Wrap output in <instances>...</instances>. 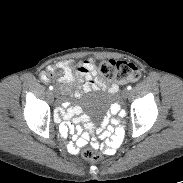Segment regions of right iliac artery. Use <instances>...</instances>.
Here are the masks:
<instances>
[{"instance_id":"82829eb1","label":"right iliac artery","mask_w":183,"mask_h":183,"mask_svg":"<svg viewBox=\"0 0 183 183\" xmlns=\"http://www.w3.org/2000/svg\"><path fill=\"white\" fill-rule=\"evenodd\" d=\"M49 89H50V90H53V86H49Z\"/></svg>"}]
</instances>
